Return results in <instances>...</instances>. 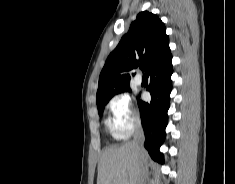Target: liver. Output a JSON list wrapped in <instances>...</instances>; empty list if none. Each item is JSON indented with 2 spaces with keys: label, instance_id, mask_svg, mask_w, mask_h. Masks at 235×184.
<instances>
[{
  "label": "liver",
  "instance_id": "liver-1",
  "mask_svg": "<svg viewBox=\"0 0 235 184\" xmlns=\"http://www.w3.org/2000/svg\"><path fill=\"white\" fill-rule=\"evenodd\" d=\"M149 160L146 150L139 154L132 142L108 148L100 158L97 184H135L141 166L146 170Z\"/></svg>",
  "mask_w": 235,
  "mask_h": 184
}]
</instances>
